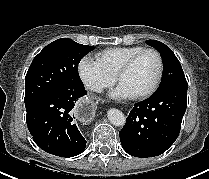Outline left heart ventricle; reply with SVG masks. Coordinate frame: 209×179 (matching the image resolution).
Listing matches in <instances>:
<instances>
[{
	"mask_svg": "<svg viewBox=\"0 0 209 179\" xmlns=\"http://www.w3.org/2000/svg\"><path fill=\"white\" fill-rule=\"evenodd\" d=\"M158 61L154 54L142 55L135 64L122 75L118 84L125 88L131 96L148 89L156 78Z\"/></svg>",
	"mask_w": 209,
	"mask_h": 179,
	"instance_id": "left-heart-ventricle-1",
	"label": "left heart ventricle"
}]
</instances>
